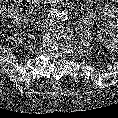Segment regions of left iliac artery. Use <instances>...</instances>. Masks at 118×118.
Here are the masks:
<instances>
[{"mask_svg": "<svg viewBox=\"0 0 118 118\" xmlns=\"http://www.w3.org/2000/svg\"><path fill=\"white\" fill-rule=\"evenodd\" d=\"M58 19H60L61 21H67L68 20L67 13H65V12L59 13Z\"/></svg>", "mask_w": 118, "mask_h": 118, "instance_id": "obj_1", "label": "left iliac artery"}]
</instances>
